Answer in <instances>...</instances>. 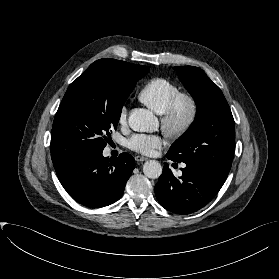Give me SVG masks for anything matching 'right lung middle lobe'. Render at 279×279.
Here are the masks:
<instances>
[{"mask_svg": "<svg viewBox=\"0 0 279 279\" xmlns=\"http://www.w3.org/2000/svg\"><path fill=\"white\" fill-rule=\"evenodd\" d=\"M137 81L123 82L104 66L89 67L80 75L68 88L54 118L53 163L103 151Z\"/></svg>", "mask_w": 279, "mask_h": 279, "instance_id": "right-lung-middle-lobe-1", "label": "right lung middle lobe"}]
</instances>
